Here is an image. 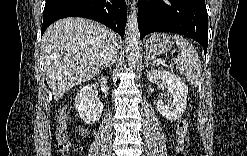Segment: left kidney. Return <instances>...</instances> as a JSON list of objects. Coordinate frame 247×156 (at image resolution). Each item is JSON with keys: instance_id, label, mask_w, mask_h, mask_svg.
<instances>
[{"instance_id": "obj_1", "label": "left kidney", "mask_w": 247, "mask_h": 156, "mask_svg": "<svg viewBox=\"0 0 247 156\" xmlns=\"http://www.w3.org/2000/svg\"><path fill=\"white\" fill-rule=\"evenodd\" d=\"M150 82L161 81L170 97L167 102L159 99L157 109L168 121H176L186 110L188 86L173 72L151 69L147 71Z\"/></svg>"}]
</instances>
